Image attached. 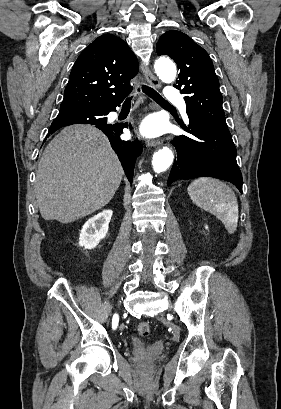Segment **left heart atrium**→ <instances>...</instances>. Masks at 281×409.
I'll use <instances>...</instances> for the list:
<instances>
[{"mask_svg": "<svg viewBox=\"0 0 281 409\" xmlns=\"http://www.w3.org/2000/svg\"><path fill=\"white\" fill-rule=\"evenodd\" d=\"M164 131V123L157 115L145 117L139 125V133L145 138H155Z\"/></svg>", "mask_w": 281, "mask_h": 409, "instance_id": "1", "label": "left heart atrium"}]
</instances>
